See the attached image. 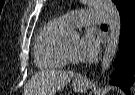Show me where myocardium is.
<instances>
[{
	"instance_id": "obj_1",
	"label": "myocardium",
	"mask_w": 135,
	"mask_h": 95,
	"mask_svg": "<svg viewBox=\"0 0 135 95\" xmlns=\"http://www.w3.org/2000/svg\"><path fill=\"white\" fill-rule=\"evenodd\" d=\"M62 55H63L65 61L68 62V63L74 64V65H76V64L79 63L78 59L74 58L70 54V52H69V50L67 48L66 41H64L63 42V45H62Z\"/></svg>"
}]
</instances>
